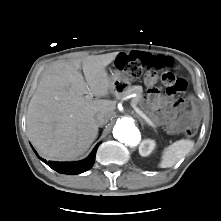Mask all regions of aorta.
I'll use <instances>...</instances> for the list:
<instances>
[{"instance_id": "762f6f07", "label": "aorta", "mask_w": 221, "mask_h": 221, "mask_svg": "<svg viewBox=\"0 0 221 221\" xmlns=\"http://www.w3.org/2000/svg\"><path fill=\"white\" fill-rule=\"evenodd\" d=\"M114 137L121 143L135 146L140 141V132L129 118H122L116 122L113 129Z\"/></svg>"}]
</instances>
